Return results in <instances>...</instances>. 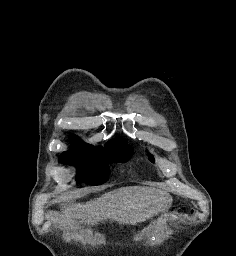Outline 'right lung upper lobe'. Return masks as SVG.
<instances>
[{
	"label": "right lung upper lobe",
	"mask_w": 236,
	"mask_h": 256,
	"mask_svg": "<svg viewBox=\"0 0 236 256\" xmlns=\"http://www.w3.org/2000/svg\"><path fill=\"white\" fill-rule=\"evenodd\" d=\"M109 142H126L124 140H121V139H112L110 140ZM127 143V142H126Z\"/></svg>",
	"instance_id": "cb5924a9"
}]
</instances>
